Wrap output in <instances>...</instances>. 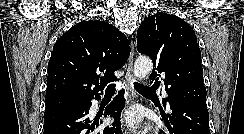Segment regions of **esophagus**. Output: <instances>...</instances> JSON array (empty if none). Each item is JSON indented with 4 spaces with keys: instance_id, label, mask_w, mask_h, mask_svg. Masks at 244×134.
<instances>
[{
    "instance_id": "34e87169",
    "label": "esophagus",
    "mask_w": 244,
    "mask_h": 134,
    "mask_svg": "<svg viewBox=\"0 0 244 134\" xmlns=\"http://www.w3.org/2000/svg\"><path fill=\"white\" fill-rule=\"evenodd\" d=\"M131 47V52L130 56L126 65V87L128 91V95L130 97L131 101H134L137 97V93L134 89V81H135V76L133 73V56H134V44L131 42L130 44ZM125 134H130V132L125 131Z\"/></svg>"
}]
</instances>
